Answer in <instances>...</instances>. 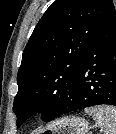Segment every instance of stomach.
Masks as SVG:
<instances>
[{"label": "stomach", "instance_id": "obj_1", "mask_svg": "<svg viewBox=\"0 0 116 134\" xmlns=\"http://www.w3.org/2000/svg\"><path fill=\"white\" fill-rule=\"evenodd\" d=\"M88 122L80 117L68 116L48 124L39 134H87Z\"/></svg>", "mask_w": 116, "mask_h": 134}]
</instances>
